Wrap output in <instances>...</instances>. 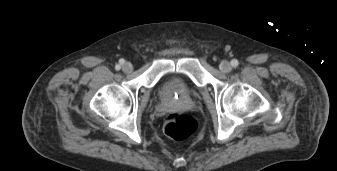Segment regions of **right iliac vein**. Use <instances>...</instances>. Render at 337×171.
<instances>
[{
	"label": "right iliac vein",
	"mask_w": 337,
	"mask_h": 171,
	"mask_svg": "<svg viewBox=\"0 0 337 171\" xmlns=\"http://www.w3.org/2000/svg\"><path fill=\"white\" fill-rule=\"evenodd\" d=\"M133 69V66L131 63L129 62H125L123 65H122V70L125 72V73H129L131 72Z\"/></svg>",
	"instance_id": "1"
}]
</instances>
